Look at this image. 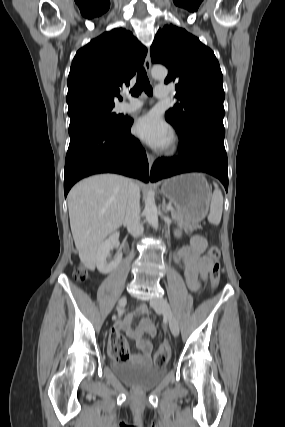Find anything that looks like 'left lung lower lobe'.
<instances>
[{"label": "left lung lower lobe", "mask_w": 285, "mask_h": 427, "mask_svg": "<svg viewBox=\"0 0 285 427\" xmlns=\"http://www.w3.org/2000/svg\"><path fill=\"white\" fill-rule=\"evenodd\" d=\"M224 136V126L212 121H201L187 133H179V155L158 159L152 167L150 180L157 181L188 172H205L217 177L227 191L228 160Z\"/></svg>", "instance_id": "1"}]
</instances>
